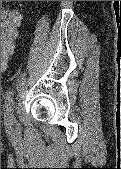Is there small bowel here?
Masks as SVG:
<instances>
[{
    "label": "small bowel",
    "mask_w": 121,
    "mask_h": 169,
    "mask_svg": "<svg viewBox=\"0 0 121 169\" xmlns=\"http://www.w3.org/2000/svg\"><path fill=\"white\" fill-rule=\"evenodd\" d=\"M1 70H2V72H3V71H5V70H6V68H5V69L1 68Z\"/></svg>",
    "instance_id": "obj_1"
}]
</instances>
